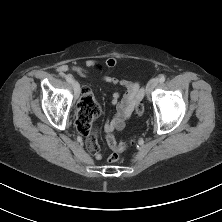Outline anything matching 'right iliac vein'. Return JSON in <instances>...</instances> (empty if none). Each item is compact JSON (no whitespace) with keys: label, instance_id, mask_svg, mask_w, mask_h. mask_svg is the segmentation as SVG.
<instances>
[{"label":"right iliac vein","instance_id":"1","mask_svg":"<svg viewBox=\"0 0 222 222\" xmlns=\"http://www.w3.org/2000/svg\"><path fill=\"white\" fill-rule=\"evenodd\" d=\"M72 85H73L75 97L78 98L79 95H80V85H79V83L77 81H73Z\"/></svg>","mask_w":222,"mask_h":222}]
</instances>
